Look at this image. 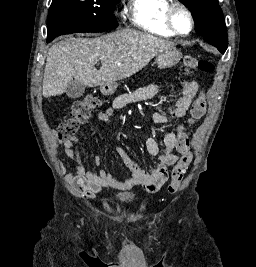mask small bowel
Listing matches in <instances>:
<instances>
[{
    "label": "small bowel",
    "mask_w": 256,
    "mask_h": 267,
    "mask_svg": "<svg viewBox=\"0 0 256 267\" xmlns=\"http://www.w3.org/2000/svg\"><path fill=\"white\" fill-rule=\"evenodd\" d=\"M160 88L161 85L156 83L123 93L115 98L111 107L98 115V119L110 123L117 111L123 109L130 103L156 97ZM197 90L198 83L196 80L189 79L183 82L180 96L174 105L169 107L172 118L182 119L186 116ZM154 121L157 125L161 126L167 122V117L162 113H157L154 116ZM63 146L68 158L75 162L73 173H66L65 167L61 166V172L65 175V181L77 193L89 199H93L104 188L128 190L136 185L143 186L149 193H156L166 182L168 169L178 161L175 150L181 153L180 138H176L175 132H168L164 136L162 148L158 146L153 138L149 137L146 140L147 151L152 156L158 158V164L149 170L142 168L123 148L118 147L117 153L125 162L128 174V178L120 179L106 168H100L98 170L86 169L77 148V137L73 136L65 139ZM94 162L100 165L102 159L96 155L94 156Z\"/></svg>",
    "instance_id": "small-bowel-1"
}]
</instances>
